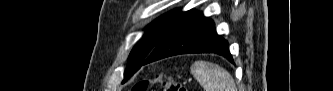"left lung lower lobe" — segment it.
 I'll use <instances>...</instances> for the list:
<instances>
[{
  "label": "left lung lower lobe",
  "instance_id": "left-lung-lower-lobe-1",
  "mask_svg": "<svg viewBox=\"0 0 333 91\" xmlns=\"http://www.w3.org/2000/svg\"><path fill=\"white\" fill-rule=\"evenodd\" d=\"M187 53L219 54L233 63L228 43L217 35L213 21L202 13L187 11L166 32L142 65Z\"/></svg>",
  "mask_w": 333,
  "mask_h": 91
}]
</instances>
